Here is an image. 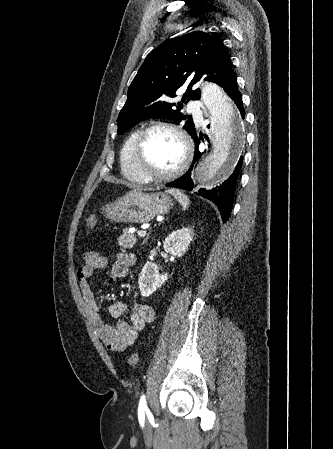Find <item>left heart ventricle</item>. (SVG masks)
<instances>
[{
    "label": "left heart ventricle",
    "instance_id": "b2bd125f",
    "mask_svg": "<svg viewBox=\"0 0 333 449\" xmlns=\"http://www.w3.org/2000/svg\"><path fill=\"white\" fill-rule=\"evenodd\" d=\"M183 159L180 140L164 130L152 131L143 146L142 166L152 174L161 175L174 170Z\"/></svg>",
    "mask_w": 333,
    "mask_h": 449
}]
</instances>
